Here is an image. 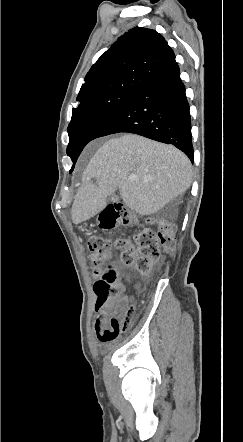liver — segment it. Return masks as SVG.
<instances>
[{
    "label": "liver",
    "instance_id": "obj_1",
    "mask_svg": "<svg viewBox=\"0 0 243 442\" xmlns=\"http://www.w3.org/2000/svg\"><path fill=\"white\" fill-rule=\"evenodd\" d=\"M132 175L137 179H129ZM191 180L192 165L175 147L134 134L111 138L83 172L72 205V222L79 224L100 213L117 188L131 210L142 216L154 214L182 195Z\"/></svg>",
    "mask_w": 243,
    "mask_h": 442
}]
</instances>
